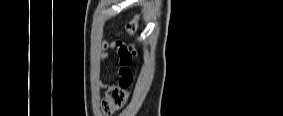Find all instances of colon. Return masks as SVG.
Here are the masks:
<instances>
[{
    "label": "colon",
    "mask_w": 283,
    "mask_h": 116,
    "mask_svg": "<svg viewBox=\"0 0 283 116\" xmlns=\"http://www.w3.org/2000/svg\"><path fill=\"white\" fill-rule=\"evenodd\" d=\"M137 23L132 21L127 26L129 34L133 35L137 32ZM126 53L131 58L136 52L133 48L126 49ZM132 75L120 77L115 83L109 84L106 88L104 97L101 101V110L104 114H112L123 107L128 98V89L131 85Z\"/></svg>",
    "instance_id": "1"
}]
</instances>
